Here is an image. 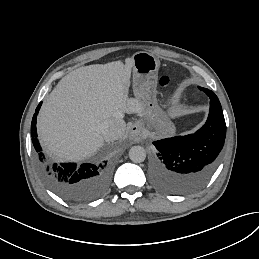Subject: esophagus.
Here are the masks:
<instances>
[{
  "label": "esophagus",
  "instance_id": "34e87169",
  "mask_svg": "<svg viewBox=\"0 0 259 259\" xmlns=\"http://www.w3.org/2000/svg\"><path fill=\"white\" fill-rule=\"evenodd\" d=\"M144 138L143 128L140 123L136 122L131 126L129 139L135 143L140 142Z\"/></svg>",
  "mask_w": 259,
  "mask_h": 259
}]
</instances>
